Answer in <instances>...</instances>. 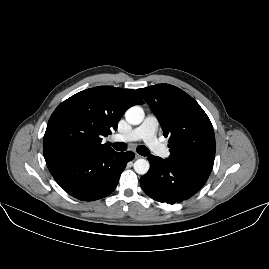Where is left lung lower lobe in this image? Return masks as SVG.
<instances>
[{"label": "left lung lower lobe", "mask_w": 269, "mask_h": 269, "mask_svg": "<svg viewBox=\"0 0 269 269\" xmlns=\"http://www.w3.org/2000/svg\"><path fill=\"white\" fill-rule=\"evenodd\" d=\"M148 160L151 168L141 177L140 184L148 196L159 202L174 204L189 199L210 175L153 155Z\"/></svg>", "instance_id": "1"}]
</instances>
